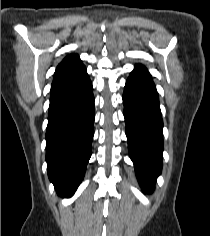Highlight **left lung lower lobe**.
I'll return each mask as SVG.
<instances>
[{
	"mask_svg": "<svg viewBox=\"0 0 210 236\" xmlns=\"http://www.w3.org/2000/svg\"><path fill=\"white\" fill-rule=\"evenodd\" d=\"M123 103L130 158L143 189L151 192L162 167L163 121L156 87L142 65L131 72Z\"/></svg>",
	"mask_w": 210,
	"mask_h": 236,
	"instance_id": "1",
	"label": "left lung lower lobe"
}]
</instances>
